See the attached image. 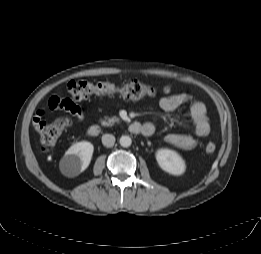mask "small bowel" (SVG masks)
<instances>
[{
    "mask_svg": "<svg viewBox=\"0 0 261 254\" xmlns=\"http://www.w3.org/2000/svg\"><path fill=\"white\" fill-rule=\"evenodd\" d=\"M190 99V95L185 92L171 94L165 96L160 100V107L166 112H173ZM49 104V103H48ZM50 109H54L49 105ZM58 108H63L68 110L72 115H74L80 122H83L86 117L85 111L79 106L67 103H60ZM56 108V109H58ZM44 112L39 111L34 119L35 125L42 120ZM189 114L194 124V135L190 134H180V133H170L167 134L165 139L168 143L183 149L190 150L197 145V139L206 137L210 133V125L207 117V109L203 102L194 101L189 106ZM144 126H152V130L149 135L154 133V126L150 123H145Z\"/></svg>",
    "mask_w": 261,
    "mask_h": 254,
    "instance_id": "small-bowel-1",
    "label": "small bowel"
}]
</instances>
